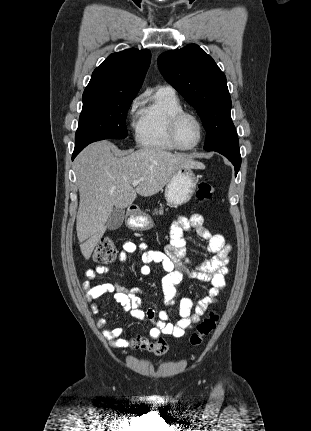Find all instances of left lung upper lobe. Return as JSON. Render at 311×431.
Returning <instances> with one entry per match:
<instances>
[{
	"label": "left lung upper lobe",
	"instance_id": "5c2ea615",
	"mask_svg": "<svg viewBox=\"0 0 311 431\" xmlns=\"http://www.w3.org/2000/svg\"><path fill=\"white\" fill-rule=\"evenodd\" d=\"M158 66L200 116L207 133L204 149L238 148L227 80L214 60L198 45L190 44L161 54Z\"/></svg>",
	"mask_w": 311,
	"mask_h": 431
}]
</instances>
